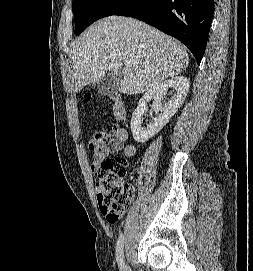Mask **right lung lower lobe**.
<instances>
[{
  "instance_id": "right-lung-lower-lobe-1",
  "label": "right lung lower lobe",
  "mask_w": 253,
  "mask_h": 271,
  "mask_svg": "<svg viewBox=\"0 0 253 271\" xmlns=\"http://www.w3.org/2000/svg\"><path fill=\"white\" fill-rule=\"evenodd\" d=\"M213 12L214 0H127L113 15L137 18L179 39L200 64Z\"/></svg>"
}]
</instances>
